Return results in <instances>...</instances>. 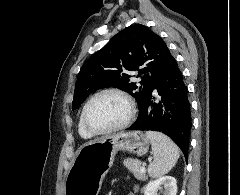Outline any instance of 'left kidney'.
Here are the masks:
<instances>
[{
    "instance_id": "5707ae66",
    "label": "left kidney",
    "mask_w": 240,
    "mask_h": 195,
    "mask_svg": "<svg viewBox=\"0 0 240 195\" xmlns=\"http://www.w3.org/2000/svg\"><path fill=\"white\" fill-rule=\"evenodd\" d=\"M163 189V195H176L177 193V181L172 175H163L159 179L149 181L146 187H144V195H157L158 189Z\"/></svg>"
}]
</instances>
